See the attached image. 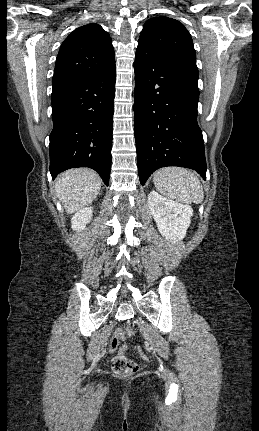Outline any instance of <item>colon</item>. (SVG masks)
<instances>
[{"instance_id":"1","label":"colon","mask_w":259,"mask_h":431,"mask_svg":"<svg viewBox=\"0 0 259 431\" xmlns=\"http://www.w3.org/2000/svg\"><path fill=\"white\" fill-rule=\"evenodd\" d=\"M133 334L134 330L130 325L119 327L111 339V349L116 350L120 341L132 337ZM127 350V347H121L119 350V356L116 357L112 365L114 372L122 377H131L138 371V364L134 360L125 357ZM137 352L141 358L145 359L147 357L143 349L137 348Z\"/></svg>"}]
</instances>
